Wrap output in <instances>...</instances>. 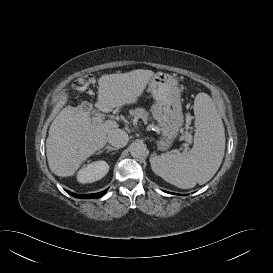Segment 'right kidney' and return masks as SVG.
I'll return each mask as SVG.
<instances>
[{"mask_svg":"<svg viewBox=\"0 0 273 273\" xmlns=\"http://www.w3.org/2000/svg\"><path fill=\"white\" fill-rule=\"evenodd\" d=\"M109 171V165L105 161H96L82 167L77 173L80 183H92L103 178Z\"/></svg>","mask_w":273,"mask_h":273,"instance_id":"right-kidney-1","label":"right kidney"}]
</instances>
